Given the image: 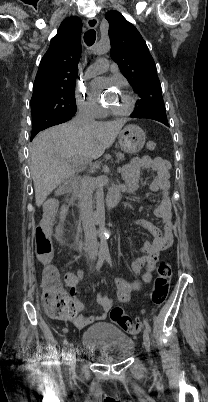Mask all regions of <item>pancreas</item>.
Returning a JSON list of instances; mask_svg holds the SVG:
<instances>
[{
  "label": "pancreas",
  "mask_w": 208,
  "mask_h": 402,
  "mask_svg": "<svg viewBox=\"0 0 208 402\" xmlns=\"http://www.w3.org/2000/svg\"><path fill=\"white\" fill-rule=\"evenodd\" d=\"M117 158H118V160H123L124 154H120V152H118Z\"/></svg>",
  "instance_id": "pancreas-1"
}]
</instances>
